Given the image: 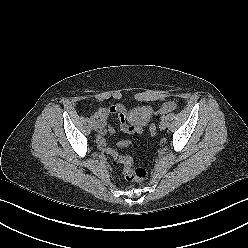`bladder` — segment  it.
Listing matches in <instances>:
<instances>
[{"label":"bladder","mask_w":248,"mask_h":248,"mask_svg":"<svg viewBox=\"0 0 248 248\" xmlns=\"http://www.w3.org/2000/svg\"><path fill=\"white\" fill-rule=\"evenodd\" d=\"M131 122L143 123L147 121V113L142 111H135L129 115Z\"/></svg>","instance_id":"bladder-1"}]
</instances>
